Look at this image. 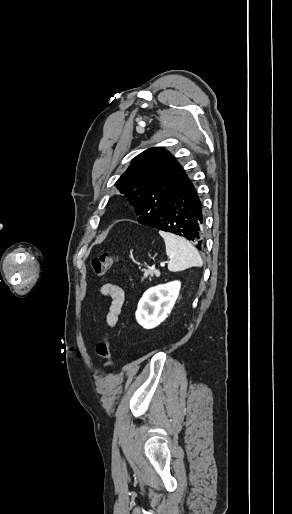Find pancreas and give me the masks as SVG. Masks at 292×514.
Returning a JSON list of instances; mask_svg holds the SVG:
<instances>
[{"instance_id":"pancreas-1","label":"pancreas","mask_w":292,"mask_h":514,"mask_svg":"<svg viewBox=\"0 0 292 514\" xmlns=\"http://www.w3.org/2000/svg\"><path fill=\"white\" fill-rule=\"evenodd\" d=\"M142 272H145L142 280H144V278H147V276H157V278H159L160 276V272H158V270H142Z\"/></svg>"}]
</instances>
